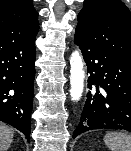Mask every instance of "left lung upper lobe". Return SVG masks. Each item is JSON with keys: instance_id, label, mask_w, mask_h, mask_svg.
Returning <instances> with one entry per match:
<instances>
[{"instance_id": "left-lung-upper-lobe-1", "label": "left lung upper lobe", "mask_w": 131, "mask_h": 151, "mask_svg": "<svg viewBox=\"0 0 131 151\" xmlns=\"http://www.w3.org/2000/svg\"><path fill=\"white\" fill-rule=\"evenodd\" d=\"M75 34L131 61V13L121 0H84Z\"/></svg>"}]
</instances>
